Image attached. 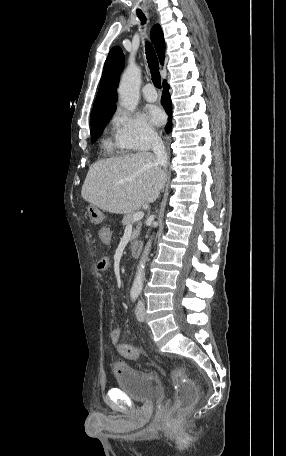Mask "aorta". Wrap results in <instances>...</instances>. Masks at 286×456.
Returning a JSON list of instances; mask_svg holds the SVG:
<instances>
[{"label": "aorta", "instance_id": "1", "mask_svg": "<svg viewBox=\"0 0 286 456\" xmlns=\"http://www.w3.org/2000/svg\"><path fill=\"white\" fill-rule=\"evenodd\" d=\"M140 81L141 70L136 65L128 66L121 77L118 88L120 104L128 111L133 112L138 105ZM151 244L152 240H149L142 253L132 285L133 290L141 291L143 288L145 264L150 252Z\"/></svg>", "mask_w": 286, "mask_h": 456}]
</instances>
